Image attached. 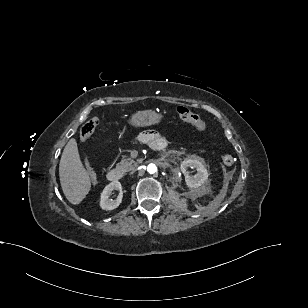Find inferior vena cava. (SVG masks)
<instances>
[{"instance_id": "obj_1", "label": "inferior vena cava", "mask_w": 308, "mask_h": 308, "mask_svg": "<svg viewBox=\"0 0 308 308\" xmlns=\"http://www.w3.org/2000/svg\"><path fill=\"white\" fill-rule=\"evenodd\" d=\"M131 174H136V169H131Z\"/></svg>"}]
</instances>
